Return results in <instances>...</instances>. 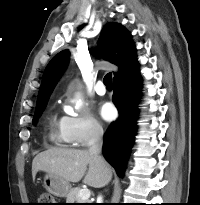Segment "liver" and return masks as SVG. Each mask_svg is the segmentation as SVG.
<instances>
[{"instance_id": "obj_1", "label": "liver", "mask_w": 200, "mask_h": 205, "mask_svg": "<svg viewBox=\"0 0 200 205\" xmlns=\"http://www.w3.org/2000/svg\"><path fill=\"white\" fill-rule=\"evenodd\" d=\"M40 170L73 183L84 177L83 183L94 188L105 186L112 178L110 165L85 149L51 148L41 152L32 162L33 179Z\"/></svg>"}]
</instances>
